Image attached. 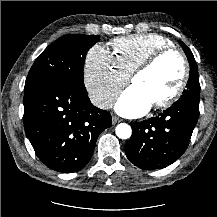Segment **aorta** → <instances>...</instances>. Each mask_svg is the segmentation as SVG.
Returning a JSON list of instances; mask_svg holds the SVG:
<instances>
[{
	"label": "aorta",
	"instance_id": "762f6f07",
	"mask_svg": "<svg viewBox=\"0 0 217 217\" xmlns=\"http://www.w3.org/2000/svg\"><path fill=\"white\" fill-rule=\"evenodd\" d=\"M115 133L120 139H128L131 137L132 129L126 123H120L115 128Z\"/></svg>",
	"mask_w": 217,
	"mask_h": 217
}]
</instances>
